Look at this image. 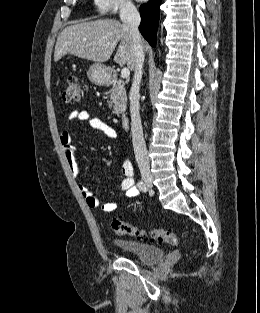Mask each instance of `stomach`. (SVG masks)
Masks as SVG:
<instances>
[{
  "instance_id": "stomach-1",
  "label": "stomach",
  "mask_w": 260,
  "mask_h": 313,
  "mask_svg": "<svg viewBox=\"0 0 260 313\" xmlns=\"http://www.w3.org/2000/svg\"><path fill=\"white\" fill-rule=\"evenodd\" d=\"M87 76L90 81L96 85H104L109 80V72L101 63H94L87 71Z\"/></svg>"
}]
</instances>
